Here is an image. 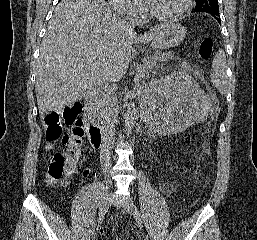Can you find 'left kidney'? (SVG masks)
<instances>
[{"mask_svg":"<svg viewBox=\"0 0 257 240\" xmlns=\"http://www.w3.org/2000/svg\"><path fill=\"white\" fill-rule=\"evenodd\" d=\"M207 99L188 75L174 73L152 81L145 92L146 118L159 134H177L206 116Z\"/></svg>","mask_w":257,"mask_h":240,"instance_id":"5707ae66","label":"left kidney"}]
</instances>
